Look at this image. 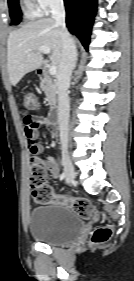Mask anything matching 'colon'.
Listing matches in <instances>:
<instances>
[{
	"mask_svg": "<svg viewBox=\"0 0 134 281\" xmlns=\"http://www.w3.org/2000/svg\"><path fill=\"white\" fill-rule=\"evenodd\" d=\"M24 105L27 109H35L38 106V98L34 93H27L24 97ZM33 199L40 204L57 202L73 209L83 218H96V212L91 202L84 198L55 197L48 183L47 173L44 168L35 166L32 168L29 178ZM112 234L111 226H101L95 229L91 235V243L99 245L107 242Z\"/></svg>",
	"mask_w": 134,
	"mask_h": 281,
	"instance_id": "colon-1",
	"label": "colon"
}]
</instances>
